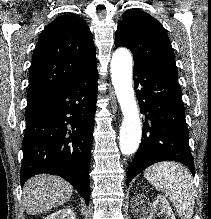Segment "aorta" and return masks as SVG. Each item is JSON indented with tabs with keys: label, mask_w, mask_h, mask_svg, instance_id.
I'll list each match as a JSON object with an SVG mask.
<instances>
[{
	"label": "aorta",
	"mask_w": 211,
	"mask_h": 219,
	"mask_svg": "<svg viewBox=\"0 0 211 219\" xmlns=\"http://www.w3.org/2000/svg\"><path fill=\"white\" fill-rule=\"evenodd\" d=\"M111 76L124 119L119 146L125 155L136 152L141 141V121L132 86V56L126 48L117 49L111 60Z\"/></svg>",
	"instance_id": "obj_1"
}]
</instances>
